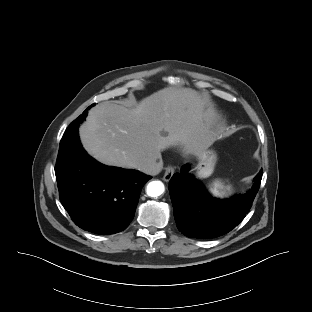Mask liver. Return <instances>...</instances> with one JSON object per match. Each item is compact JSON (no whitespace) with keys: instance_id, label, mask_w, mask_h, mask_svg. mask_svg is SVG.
<instances>
[{"instance_id":"obj_1","label":"liver","mask_w":312,"mask_h":312,"mask_svg":"<svg viewBox=\"0 0 312 312\" xmlns=\"http://www.w3.org/2000/svg\"><path fill=\"white\" fill-rule=\"evenodd\" d=\"M207 98L188 88L168 87L129 109L112 101L93 107L79 129L85 150L99 162L137 169L145 159L181 145L198 155L218 136Z\"/></svg>"}]
</instances>
